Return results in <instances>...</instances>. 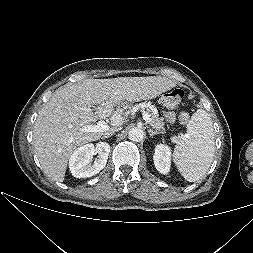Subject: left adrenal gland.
I'll return each mask as SVG.
<instances>
[{
	"instance_id": "1",
	"label": "left adrenal gland",
	"mask_w": 253,
	"mask_h": 253,
	"mask_svg": "<svg viewBox=\"0 0 253 253\" xmlns=\"http://www.w3.org/2000/svg\"><path fill=\"white\" fill-rule=\"evenodd\" d=\"M148 132H149L150 137H152V138L154 135L159 134V133L153 131L152 129H149Z\"/></svg>"
}]
</instances>
